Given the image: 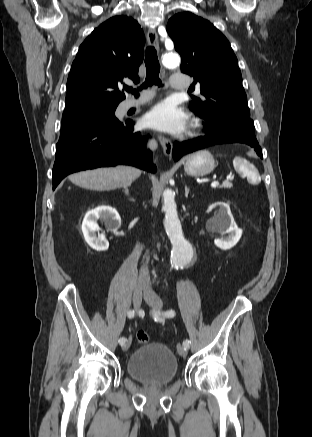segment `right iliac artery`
Here are the masks:
<instances>
[{"instance_id":"obj_1","label":"right iliac artery","mask_w":312,"mask_h":437,"mask_svg":"<svg viewBox=\"0 0 312 437\" xmlns=\"http://www.w3.org/2000/svg\"><path fill=\"white\" fill-rule=\"evenodd\" d=\"M127 314H128V317H129V318H133L134 315H135V312H134V310H129ZM125 341H126V338H124V337H122V338L119 339V343H120L121 345H123V344L125 343Z\"/></svg>"}]
</instances>
